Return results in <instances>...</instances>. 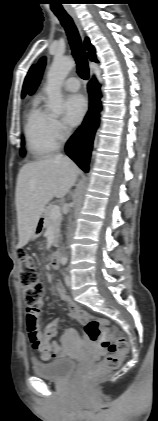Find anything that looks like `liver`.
<instances>
[{
	"instance_id": "obj_1",
	"label": "liver",
	"mask_w": 158,
	"mask_h": 421,
	"mask_svg": "<svg viewBox=\"0 0 158 421\" xmlns=\"http://www.w3.org/2000/svg\"><path fill=\"white\" fill-rule=\"evenodd\" d=\"M78 172L77 165L62 155L22 166L15 194L19 248L31 239L48 202L53 197L63 198L73 186Z\"/></svg>"
}]
</instances>
